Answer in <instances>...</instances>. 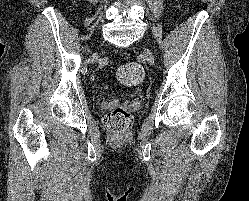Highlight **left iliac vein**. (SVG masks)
<instances>
[{"mask_svg": "<svg viewBox=\"0 0 249 201\" xmlns=\"http://www.w3.org/2000/svg\"><path fill=\"white\" fill-rule=\"evenodd\" d=\"M145 57H146V60L150 63L154 61V56L149 49L145 50Z\"/></svg>", "mask_w": 249, "mask_h": 201, "instance_id": "left-iliac-vein-1", "label": "left iliac vein"}]
</instances>
